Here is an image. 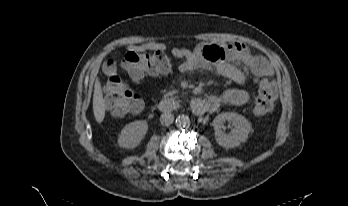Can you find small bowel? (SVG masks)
Returning <instances> with one entry per match:
<instances>
[{
  "label": "small bowel",
  "mask_w": 348,
  "mask_h": 206,
  "mask_svg": "<svg viewBox=\"0 0 348 206\" xmlns=\"http://www.w3.org/2000/svg\"><path fill=\"white\" fill-rule=\"evenodd\" d=\"M146 47L164 49L165 45L149 43ZM172 54L181 60L179 70L182 73L207 70L213 66L219 75L234 81L240 86L227 89L219 95L210 97L213 102L210 112L216 111L222 105L244 104L250 98L248 91L244 88L246 76L232 62L242 63L247 69L259 76H268L273 73L272 66L265 58L256 55L247 45L240 42H231L224 46L200 44L193 49L174 47L172 48Z\"/></svg>",
  "instance_id": "small-bowel-1"
}]
</instances>
